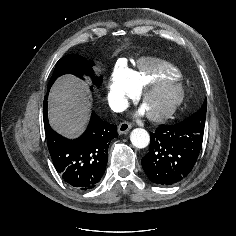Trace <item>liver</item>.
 <instances>
[{"instance_id": "1", "label": "liver", "mask_w": 236, "mask_h": 236, "mask_svg": "<svg viewBox=\"0 0 236 236\" xmlns=\"http://www.w3.org/2000/svg\"><path fill=\"white\" fill-rule=\"evenodd\" d=\"M48 117L53 129L67 137H75L85 128L91 109L85 85L73 76L59 78L48 99Z\"/></svg>"}]
</instances>
